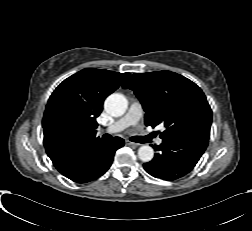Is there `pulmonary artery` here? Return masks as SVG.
Instances as JSON below:
<instances>
[{
  "label": "pulmonary artery",
  "instance_id": "1",
  "mask_svg": "<svg viewBox=\"0 0 252 231\" xmlns=\"http://www.w3.org/2000/svg\"><path fill=\"white\" fill-rule=\"evenodd\" d=\"M143 116L142 105L138 101H134L130 104L126 114L118 119L115 123L109 126L106 131L109 133H116L126 129L129 126L137 124ZM156 144H162L163 140L157 138Z\"/></svg>",
  "mask_w": 252,
  "mask_h": 231
}]
</instances>
